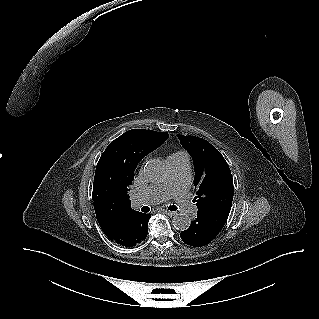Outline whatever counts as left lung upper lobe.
I'll return each instance as SVG.
<instances>
[{
    "label": "left lung upper lobe",
    "mask_w": 319,
    "mask_h": 319,
    "mask_svg": "<svg viewBox=\"0 0 319 319\" xmlns=\"http://www.w3.org/2000/svg\"><path fill=\"white\" fill-rule=\"evenodd\" d=\"M185 150L192 156L198 211H230L233 200V178L222 154L208 141L196 136L177 135Z\"/></svg>",
    "instance_id": "obj_1"
}]
</instances>
